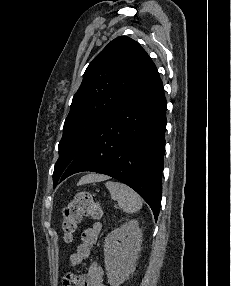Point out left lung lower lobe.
<instances>
[{
    "label": "left lung lower lobe",
    "instance_id": "left-lung-lower-lobe-1",
    "mask_svg": "<svg viewBox=\"0 0 231 286\" xmlns=\"http://www.w3.org/2000/svg\"><path fill=\"white\" fill-rule=\"evenodd\" d=\"M166 99L155 69L98 124L64 171H93L134 189L157 220L162 194Z\"/></svg>",
    "mask_w": 231,
    "mask_h": 286
}]
</instances>
